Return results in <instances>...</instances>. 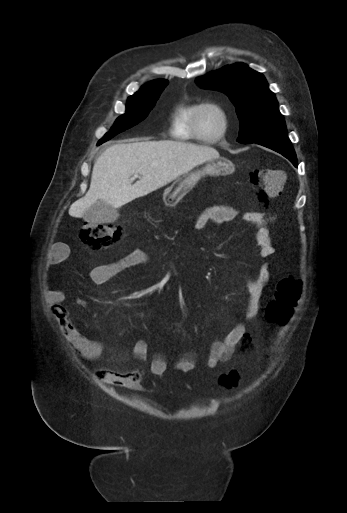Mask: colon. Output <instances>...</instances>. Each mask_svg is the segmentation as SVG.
Masks as SVG:
<instances>
[{"label":"colon","instance_id":"1","mask_svg":"<svg viewBox=\"0 0 347 513\" xmlns=\"http://www.w3.org/2000/svg\"><path fill=\"white\" fill-rule=\"evenodd\" d=\"M250 181L256 187L260 201L266 202L277 197L284 184L283 172L277 169H260L250 172ZM122 236V228L118 224L83 223L79 237L93 249H106L116 244ZM303 283L299 278L287 276L280 279L274 290L272 301L266 308L267 320L278 326L286 325L301 298ZM265 357L272 355L270 348L263 350ZM239 375L236 371L221 375L219 383L227 388L237 385Z\"/></svg>","mask_w":347,"mask_h":513}]
</instances>
